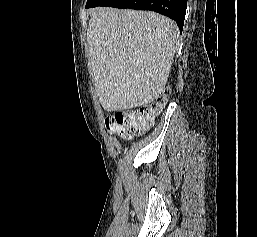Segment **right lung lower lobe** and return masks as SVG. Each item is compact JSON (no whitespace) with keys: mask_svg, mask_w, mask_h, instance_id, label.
I'll use <instances>...</instances> for the list:
<instances>
[{"mask_svg":"<svg viewBox=\"0 0 257 237\" xmlns=\"http://www.w3.org/2000/svg\"><path fill=\"white\" fill-rule=\"evenodd\" d=\"M101 6L155 11L175 20L182 32L187 0H107Z\"/></svg>","mask_w":257,"mask_h":237,"instance_id":"obj_1","label":"right lung lower lobe"}]
</instances>
